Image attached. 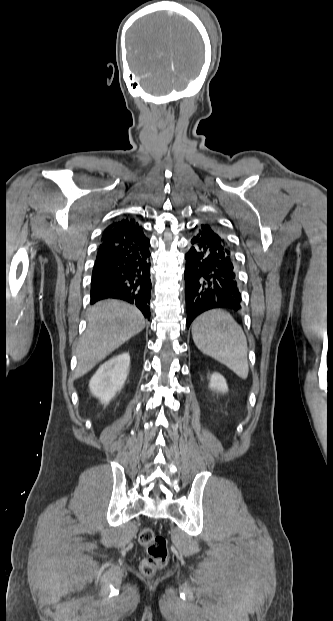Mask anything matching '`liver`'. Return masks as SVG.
Here are the masks:
<instances>
[{
	"label": "liver",
	"mask_w": 333,
	"mask_h": 621,
	"mask_svg": "<svg viewBox=\"0 0 333 621\" xmlns=\"http://www.w3.org/2000/svg\"><path fill=\"white\" fill-rule=\"evenodd\" d=\"M87 320V330L76 348V377L85 375L145 328L142 313L135 306L117 300L97 302L89 310Z\"/></svg>",
	"instance_id": "liver-1"
}]
</instances>
